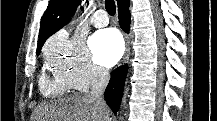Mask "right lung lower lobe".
<instances>
[{"label":"right lung lower lobe","instance_id":"98d812e1","mask_svg":"<svg viewBox=\"0 0 217 121\" xmlns=\"http://www.w3.org/2000/svg\"><path fill=\"white\" fill-rule=\"evenodd\" d=\"M118 12L120 26L125 32H128L130 28V12L128 0H122L118 3ZM126 75L127 65L114 70L111 74V79L105 91L106 102L114 113H116L120 107Z\"/></svg>","mask_w":217,"mask_h":121}]
</instances>
